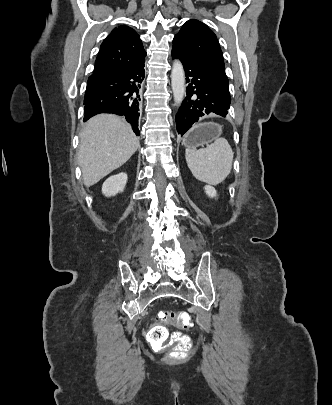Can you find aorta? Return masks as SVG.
Segmentation results:
<instances>
[{
  "mask_svg": "<svg viewBox=\"0 0 332 405\" xmlns=\"http://www.w3.org/2000/svg\"><path fill=\"white\" fill-rule=\"evenodd\" d=\"M171 86L173 91L174 103L179 107L185 97V72L182 63L175 60L171 72Z\"/></svg>",
  "mask_w": 332,
  "mask_h": 405,
  "instance_id": "aorta-1",
  "label": "aorta"
}]
</instances>
